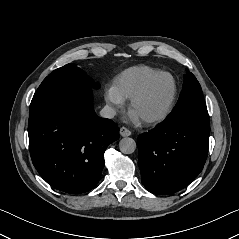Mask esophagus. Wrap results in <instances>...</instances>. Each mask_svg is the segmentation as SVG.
Returning <instances> with one entry per match:
<instances>
[{
  "label": "esophagus",
  "instance_id": "1",
  "mask_svg": "<svg viewBox=\"0 0 239 239\" xmlns=\"http://www.w3.org/2000/svg\"><path fill=\"white\" fill-rule=\"evenodd\" d=\"M120 135L123 137H127L131 135V131L127 129L126 127H121L120 128Z\"/></svg>",
  "mask_w": 239,
  "mask_h": 239
}]
</instances>
